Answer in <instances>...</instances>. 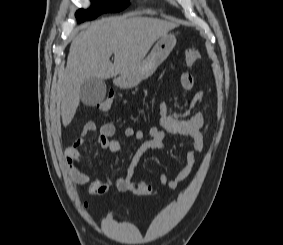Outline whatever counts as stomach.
Segmentation results:
<instances>
[{
    "mask_svg": "<svg viewBox=\"0 0 283 245\" xmlns=\"http://www.w3.org/2000/svg\"><path fill=\"white\" fill-rule=\"evenodd\" d=\"M176 45L174 35H165L159 39L150 54L133 69L120 74L116 84L122 88H132L149 78L159 65L168 57Z\"/></svg>",
    "mask_w": 283,
    "mask_h": 245,
    "instance_id": "0dacf381",
    "label": "stomach"
}]
</instances>
